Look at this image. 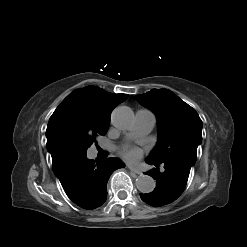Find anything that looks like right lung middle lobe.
Segmentation results:
<instances>
[{"label":"right lung middle lobe","mask_w":247,"mask_h":247,"mask_svg":"<svg viewBox=\"0 0 247 247\" xmlns=\"http://www.w3.org/2000/svg\"><path fill=\"white\" fill-rule=\"evenodd\" d=\"M108 127L66 124L60 132V144L67 156H86L87 149L96 142L97 135L106 134Z\"/></svg>","instance_id":"right-lung-middle-lobe-1"}]
</instances>
